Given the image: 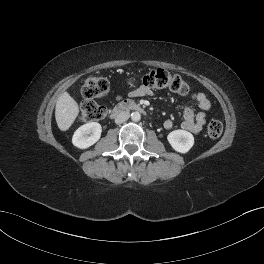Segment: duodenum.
<instances>
[{"label":"duodenum","instance_id":"410a0bca","mask_svg":"<svg viewBox=\"0 0 264 264\" xmlns=\"http://www.w3.org/2000/svg\"><path fill=\"white\" fill-rule=\"evenodd\" d=\"M125 111L144 112V109L140 105L136 104L131 100H124L112 109L110 113V117L115 118Z\"/></svg>","mask_w":264,"mask_h":264}]
</instances>
